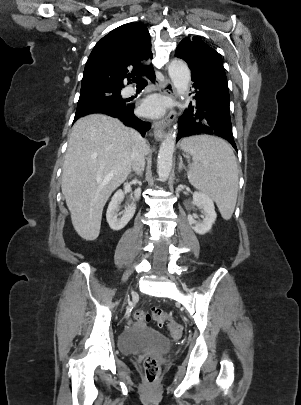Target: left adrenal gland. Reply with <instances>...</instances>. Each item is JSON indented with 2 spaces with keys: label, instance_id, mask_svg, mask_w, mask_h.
Masks as SVG:
<instances>
[{
  "label": "left adrenal gland",
  "instance_id": "left-adrenal-gland-1",
  "mask_svg": "<svg viewBox=\"0 0 301 405\" xmlns=\"http://www.w3.org/2000/svg\"><path fill=\"white\" fill-rule=\"evenodd\" d=\"M183 168L185 169V166L183 165L182 158L180 157V163H179V168H178L179 172H180Z\"/></svg>",
  "mask_w": 301,
  "mask_h": 405
}]
</instances>
